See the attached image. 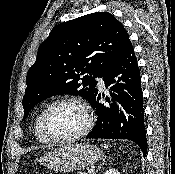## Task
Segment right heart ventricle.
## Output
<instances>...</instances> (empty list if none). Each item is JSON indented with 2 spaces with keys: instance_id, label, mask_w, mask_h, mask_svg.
Returning a JSON list of instances; mask_svg holds the SVG:
<instances>
[{
  "instance_id": "e07e8e85",
  "label": "right heart ventricle",
  "mask_w": 175,
  "mask_h": 174,
  "mask_svg": "<svg viewBox=\"0 0 175 174\" xmlns=\"http://www.w3.org/2000/svg\"><path fill=\"white\" fill-rule=\"evenodd\" d=\"M43 111L44 110H41L35 118L34 134L40 143H47L49 140L44 136V134L41 130V125H40L41 116H42Z\"/></svg>"
}]
</instances>
